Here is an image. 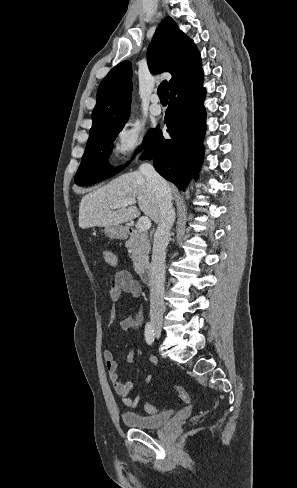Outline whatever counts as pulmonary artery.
I'll return each instance as SVG.
<instances>
[{
  "label": "pulmonary artery",
  "instance_id": "e3ab8cb5",
  "mask_svg": "<svg viewBox=\"0 0 297 488\" xmlns=\"http://www.w3.org/2000/svg\"><path fill=\"white\" fill-rule=\"evenodd\" d=\"M151 105H150V113L152 115H155V116H159L161 113H162V108L161 106L159 105V97L154 94L152 97H151Z\"/></svg>",
  "mask_w": 297,
  "mask_h": 488
}]
</instances>
